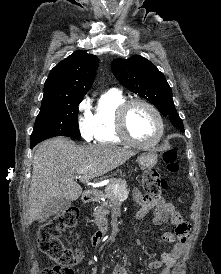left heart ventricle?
<instances>
[{"label": "left heart ventricle", "mask_w": 221, "mask_h": 274, "mask_svg": "<svg viewBox=\"0 0 221 274\" xmlns=\"http://www.w3.org/2000/svg\"><path fill=\"white\" fill-rule=\"evenodd\" d=\"M131 136L143 143L152 142L158 133V123L154 114L144 105L132 106L127 117Z\"/></svg>", "instance_id": "b2bd125f"}]
</instances>
